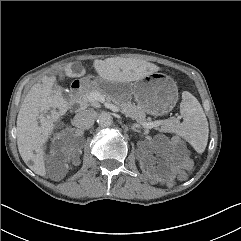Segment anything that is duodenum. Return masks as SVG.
I'll return each instance as SVG.
<instances>
[{
	"mask_svg": "<svg viewBox=\"0 0 241 241\" xmlns=\"http://www.w3.org/2000/svg\"><path fill=\"white\" fill-rule=\"evenodd\" d=\"M86 86V82L83 80H77L72 83L71 86V93H70V98H71V104L73 105L74 102L78 99L81 91L84 89Z\"/></svg>",
	"mask_w": 241,
	"mask_h": 241,
	"instance_id": "duodenum-1",
	"label": "duodenum"
}]
</instances>
